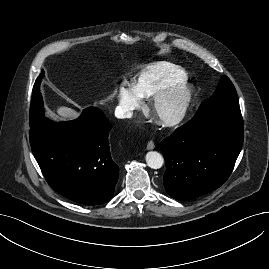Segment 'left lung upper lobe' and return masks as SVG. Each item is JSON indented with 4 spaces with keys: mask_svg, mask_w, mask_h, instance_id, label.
Instances as JSON below:
<instances>
[{
    "mask_svg": "<svg viewBox=\"0 0 269 269\" xmlns=\"http://www.w3.org/2000/svg\"><path fill=\"white\" fill-rule=\"evenodd\" d=\"M229 105H239V100L234 85L227 76L223 75L212 97L204 101L202 110L207 111Z\"/></svg>",
    "mask_w": 269,
    "mask_h": 269,
    "instance_id": "obj_1",
    "label": "left lung upper lobe"
}]
</instances>
